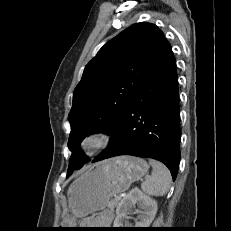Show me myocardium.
Returning <instances> with one entry per match:
<instances>
[{"instance_id":"f54148a6","label":"myocardium","mask_w":231,"mask_h":231,"mask_svg":"<svg viewBox=\"0 0 231 231\" xmlns=\"http://www.w3.org/2000/svg\"><path fill=\"white\" fill-rule=\"evenodd\" d=\"M111 142V134L105 130H95L86 134L79 142L83 153L94 154L106 148Z\"/></svg>"}]
</instances>
